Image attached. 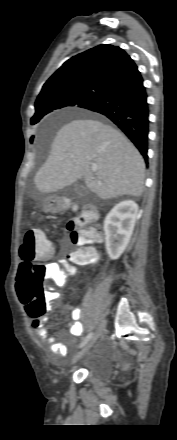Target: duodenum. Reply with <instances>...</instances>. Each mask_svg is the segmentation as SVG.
Returning <instances> with one entry per match:
<instances>
[{"label": "duodenum", "instance_id": "1", "mask_svg": "<svg viewBox=\"0 0 177 440\" xmlns=\"http://www.w3.org/2000/svg\"><path fill=\"white\" fill-rule=\"evenodd\" d=\"M67 206H68V201L67 200H61L57 204V209L58 210H62V209L67 208Z\"/></svg>", "mask_w": 177, "mask_h": 440}]
</instances>
